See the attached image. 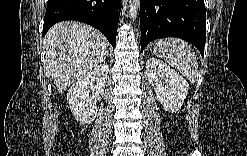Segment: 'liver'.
Instances as JSON below:
<instances>
[{"mask_svg": "<svg viewBox=\"0 0 247 156\" xmlns=\"http://www.w3.org/2000/svg\"><path fill=\"white\" fill-rule=\"evenodd\" d=\"M46 73L63 93L76 79L102 62L108 42L98 30L74 21L55 24L44 37Z\"/></svg>", "mask_w": 247, "mask_h": 156, "instance_id": "liver-1", "label": "liver"}]
</instances>
